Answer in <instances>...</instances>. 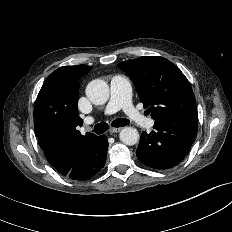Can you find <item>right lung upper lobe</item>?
<instances>
[{
	"label": "right lung upper lobe",
	"mask_w": 232,
	"mask_h": 232,
	"mask_svg": "<svg viewBox=\"0 0 232 232\" xmlns=\"http://www.w3.org/2000/svg\"><path fill=\"white\" fill-rule=\"evenodd\" d=\"M92 69L87 65L63 66L52 72L43 83L34 107V127L46 159L61 174L75 163L81 147L97 136H85L76 129L82 125L77 101L79 79Z\"/></svg>",
	"instance_id": "1"
}]
</instances>
